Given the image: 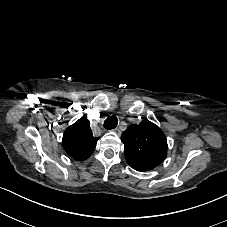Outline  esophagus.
<instances>
[{
  "label": "esophagus",
  "instance_id": "1",
  "mask_svg": "<svg viewBox=\"0 0 227 227\" xmlns=\"http://www.w3.org/2000/svg\"><path fill=\"white\" fill-rule=\"evenodd\" d=\"M113 132H115L118 136L121 135V131L118 128L114 129Z\"/></svg>",
  "mask_w": 227,
  "mask_h": 227
}]
</instances>
